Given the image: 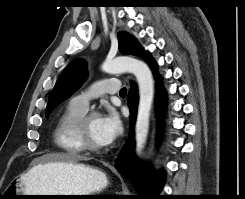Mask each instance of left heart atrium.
<instances>
[{
    "mask_svg": "<svg viewBox=\"0 0 245 199\" xmlns=\"http://www.w3.org/2000/svg\"><path fill=\"white\" fill-rule=\"evenodd\" d=\"M98 127L105 145L115 141L123 130L119 115L111 108H108L105 113L98 117Z\"/></svg>",
    "mask_w": 245,
    "mask_h": 199,
    "instance_id": "left-heart-atrium-1",
    "label": "left heart atrium"
}]
</instances>
